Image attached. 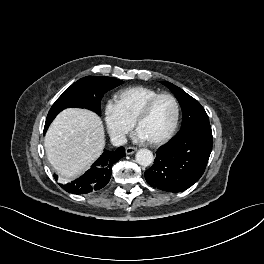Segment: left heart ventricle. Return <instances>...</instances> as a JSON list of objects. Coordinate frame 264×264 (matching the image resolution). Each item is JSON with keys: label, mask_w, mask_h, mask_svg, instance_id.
Returning a JSON list of instances; mask_svg holds the SVG:
<instances>
[{"label": "left heart ventricle", "mask_w": 264, "mask_h": 264, "mask_svg": "<svg viewBox=\"0 0 264 264\" xmlns=\"http://www.w3.org/2000/svg\"><path fill=\"white\" fill-rule=\"evenodd\" d=\"M175 118V105L171 98L159 99L149 116L140 124V131L147 140H155L164 136L172 127Z\"/></svg>", "instance_id": "left-heart-ventricle-1"}]
</instances>
